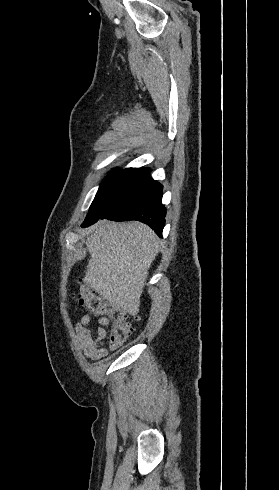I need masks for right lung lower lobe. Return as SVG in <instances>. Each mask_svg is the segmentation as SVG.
I'll return each instance as SVG.
<instances>
[{
    "label": "right lung lower lobe",
    "instance_id": "right-lung-lower-lobe-1",
    "mask_svg": "<svg viewBox=\"0 0 279 490\" xmlns=\"http://www.w3.org/2000/svg\"><path fill=\"white\" fill-rule=\"evenodd\" d=\"M162 195L163 186L153 180L128 187L109 199L100 217L83 223L82 227H88L104 218L113 221L138 220L146 223L162 236L166 215Z\"/></svg>",
    "mask_w": 279,
    "mask_h": 490
}]
</instances>
